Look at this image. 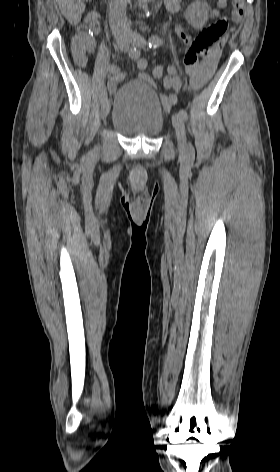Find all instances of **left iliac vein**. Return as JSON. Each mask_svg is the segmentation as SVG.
<instances>
[{"instance_id": "left-iliac-vein-1", "label": "left iliac vein", "mask_w": 280, "mask_h": 472, "mask_svg": "<svg viewBox=\"0 0 280 472\" xmlns=\"http://www.w3.org/2000/svg\"><path fill=\"white\" fill-rule=\"evenodd\" d=\"M130 42L138 48H144L146 46V40L138 33L131 34ZM172 124L177 135L179 150L185 151L187 148V140L183 119L179 115H173Z\"/></svg>"}]
</instances>
